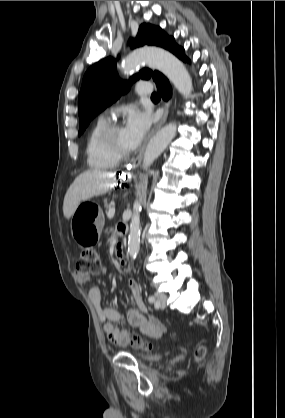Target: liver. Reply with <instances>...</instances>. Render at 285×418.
I'll use <instances>...</instances> for the list:
<instances>
[{"label": "liver", "mask_w": 285, "mask_h": 418, "mask_svg": "<svg viewBox=\"0 0 285 418\" xmlns=\"http://www.w3.org/2000/svg\"><path fill=\"white\" fill-rule=\"evenodd\" d=\"M114 174L102 170H88L75 178L63 202V214L69 219L83 200L105 194L113 186Z\"/></svg>", "instance_id": "6515ba94"}]
</instances>
